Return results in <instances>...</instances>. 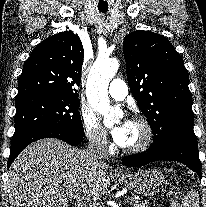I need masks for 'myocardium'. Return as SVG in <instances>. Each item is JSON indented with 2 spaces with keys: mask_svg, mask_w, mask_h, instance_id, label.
<instances>
[{
  "mask_svg": "<svg viewBox=\"0 0 206 207\" xmlns=\"http://www.w3.org/2000/svg\"><path fill=\"white\" fill-rule=\"evenodd\" d=\"M132 122L139 124L143 131L144 137L140 143L133 147H123V151L127 154H137L147 150L153 142L154 130L151 123L143 116L136 115L132 118Z\"/></svg>",
  "mask_w": 206,
  "mask_h": 207,
  "instance_id": "obj_1",
  "label": "myocardium"
}]
</instances>
